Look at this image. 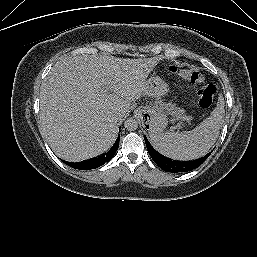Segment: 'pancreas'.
Returning a JSON list of instances; mask_svg holds the SVG:
<instances>
[{"label":"pancreas","instance_id":"obj_1","mask_svg":"<svg viewBox=\"0 0 257 257\" xmlns=\"http://www.w3.org/2000/svg\"><path fill=\"white\" fill-rule=\"evenodd\" d=\"M161 107L163 109H166L169 111V113L176 119H182L185 116V111L179 107H176L175 105H171L170 107L166 104H161Z\"/></svg>","mask_w":257,"mask_h":257}]
</instances>
